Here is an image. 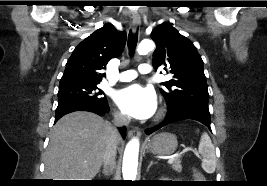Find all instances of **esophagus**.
Here are the masks:
<instances>
[{"instance_id":"34e87169","label":"esophagus","mask_w":267,"mask_h":186,"mask_svg":"<svg viewBox=\"0 0 267 186\" xmlns=\"http://www.w3.org/2000/svg\"><path fill=\"white\" fill-rule=\"evenodd\" d=\"M132 24L136 28L141 24V18L139 15H134L132 18ZM141 135V132L139 129H131L128 131V137L133 138V137H139Z\"/></svg>"}]
</instances>
